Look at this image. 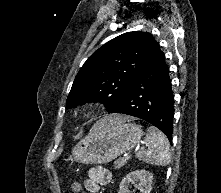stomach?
I'll return each mask as SVG.
<instances>
[{
	"instance_id": "obj_1",
	"label": "stomach",
	"mask_w": 221,
	"mask_h": 193,
	"mask_svg": "<svg viewBox=\"0 0 221 193\" xmlns=\"http://www.w3.org/2000/svg\"><path fill=\"white\" fill-rule=\"evenodd\" d=\"M143 135L139 125L122 122L104 126L101 120L72 151V159L84 164H105L132 150Z\"/></svg>"
}]
</instances>
